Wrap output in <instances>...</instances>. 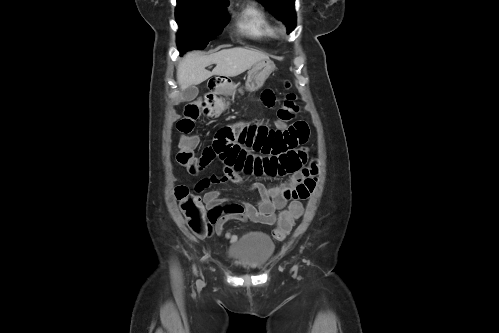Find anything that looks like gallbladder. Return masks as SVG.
<instances>
[{
  "label": "gallbladder",
  "mask_w": 499,
  "mask_h": 333,
  "mask_svg": "<svg viewBox=\"0 0 499 333\" xmlns=\"http://www.w3.org/2000/svg\"><path fill=\"white\" fill-rule=\"evenodd\" d=\"M183 95L187 101H191L198 95V89L195 86H190L184 90Z\"/></svg>",
  "instance_id": "obj_1"
}]
</instances>
